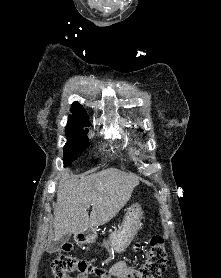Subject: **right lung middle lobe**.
<instances>
[{
    "instance_id": "1",
    "label": "right lung middle lobe",
    "mask_w": 221,
    "mask_h": 278,
    "mask_svg": "<svg viewBox=\"0 0 221 278\" xmlns=\"http://www.w3.org/2000/svg\"><path fill=\"white\" fill-rule=\"evenodd\" d=\"M90 124H84L81 122H69L66 127L67 143L64 147V164L65 166L70 165L72 161L78 158L79 154L82 153L89 142L87 137V129L83 127L89 126Z\"/></svg>"
}]
</instances>
